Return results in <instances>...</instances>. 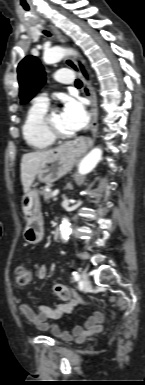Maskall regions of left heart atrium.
<instances>
[{"label":"left heart atrium","mask_w":145,"mask_h":385,"mask_svg":"<svg viewBox=\"0 0 145 385\" xmlns=\"http://www.w3.org/2000/svg\"><path fill=\"white\" fill-rule=\"evenodd\" d=\"M61 113L66 126L72 132L83 129L89 120L88 113L79 99L67 98Z\"/></svg>","instance_id":"left-heart-atrium-1"}]
</instances>
